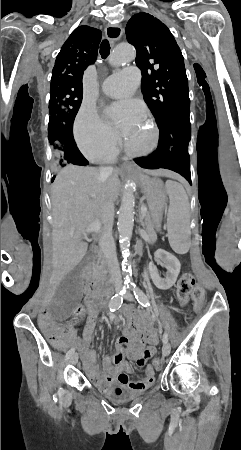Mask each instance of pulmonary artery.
I'll return each mask as SVG.
<instances>
[{
  "instance_id": "e3ab8cb5",
  "label": "pulmonary artery",
  "mask_w": 241,
  "mask_h": 450,
  "mask_svg": "<svg viewBox=\"0 0 241 450\" xmlns=\"http://www.w3.org/2000/svg\"><path fill=\"white\" fill-rule=\"evenodd\" d=\"M142 76L143 71L139 64H126V68L121 69L120 73L109 74L102 86V91L106 94L105 100L116 102L118 99L130 97L135 90L131 83Z\"/></svg>"
}]
</instances>
